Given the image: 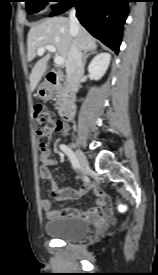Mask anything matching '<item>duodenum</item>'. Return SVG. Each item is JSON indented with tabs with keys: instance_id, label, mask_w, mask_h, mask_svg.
<instances>
[{
	"instance_id": "410a0bca",
	"label": "duodenum",
	"mask_w": 158,
	"mask_h": 275,
	"mask_svg": "<svg viewBox=\"0 0 158 275\" xmlns=\"http://www.w3.org/2000/svg\"><path fill=\"white\" fill-rule=\"evenodd\" d=\"M59 74L55 71H49L45 76L46 84L53 86L58 82ZM69 101L64 104L61 108V117L64 122H69L74 118L75 115V104L73 103V95L68 94Z\"/></svg>"
}]
</instances>
